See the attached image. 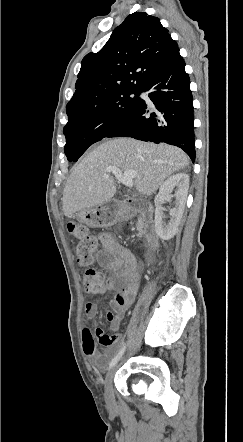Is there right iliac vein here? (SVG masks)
<instances>
[{"label":"right iliac vein","mask_w":243,"mask_h":442,"mask_svg":"<svg viewBox=\"0 0 243 442\" xmlns=\"http://www.w3.org/2000/svg\"><path fill=\"white\" fill-rule=\"evenodd\" d=\"M116 368H117L116 366L112 367V369L106 375V378L104 381V398H105L106 404L110 407H112L115 404L112 382H113Z\"/></svg>","instance_id":"1"}]
</instances>
